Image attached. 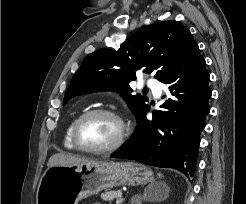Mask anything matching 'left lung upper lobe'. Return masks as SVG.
<instances>
[{
  "label": "left lung upper lobe",
  "mask_w": 246,
  "mask_h": 204,
  "mask_svg": "<svg viewBox=\"0 0 246 204\" xmlns=\"http://www.w3.org/2000/svg\"><path fill=\"white\" fill-rule=\"evenodd\" d=\"M195 44L190 31L177 21L146 26L118 50L100 49L89 54L73 76L63 105L78 95L113 90L122 93L137 119L148 108V99L130 94L128 83L136 79V71L154 73L163 82Z\"/></svg>",
  "instance_id": "obj_1"
}]
</instances>
